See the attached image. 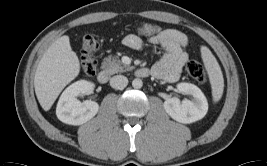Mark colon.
Instances as JSON below:
<instances>
[{"instance_id":"5ec220e1","label":"colon","mask_w":267,"mask_h":166,"mask_svg":"<svg viewBox=\"0 0 267 166\" xmlns=\"http://www.w3.org/2000/svg\"><path fill=\"white\" fill-rule=\"evenodd\" d=\"M139 33L142 35L152 36L159 32V27L156 24H142L138 28ZM99 49V41L93 35H85L82 39L81 52H82V70L86 75H93L97 68V60L95 54ZM188 74L198 82L204 83L207 80L206 72L203 66L195 61L190 60L186 64Z\"/></svg>"}]
</instances>
